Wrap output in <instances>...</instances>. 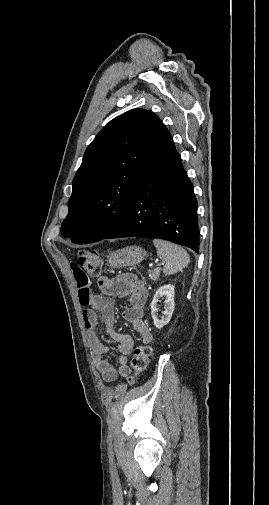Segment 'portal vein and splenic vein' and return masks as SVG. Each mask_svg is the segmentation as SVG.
<instances>
[{
	"label": "portal vein and splenic vein",
	"instance_id": "portal-vein-and-splenic-vein-1",
	"mask_svg": "<svg viewBox=\"0 0 269 505\" xmlns=\"http://www.w3.org/2000/svg\"><path fill=\"white\" fill-rule=\"evenodd\" d=\"M162 265H164V263H158V264H157V266H158V267H160V266H162Z\"/></svg>",
	"mask_w": 269,
	"mask_h": 505
}]
</instances>
